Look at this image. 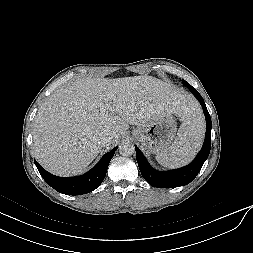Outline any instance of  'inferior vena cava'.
Instances as JSON below:
<instances>
[{
  "label": "inferior vena cava",
  "mask_w": 253,
  "mask_h": 253,
  "mask_svg": "<svg viewBox=\"0 0 253 253\" xmlns=\"http://www.w3.org/2000/svg\"><path fill=\"white\" fill-rule=\"evenodd\" d=\"M99 139L101 144L106 145L111 141L112 135L108 132L101 133Z\"/></svg>",
  "instance_id": "inferior-vena-cava-1"
}]
</instances>
